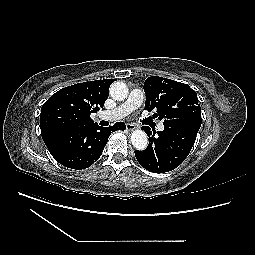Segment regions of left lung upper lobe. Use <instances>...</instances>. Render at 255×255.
Masks as SVG:
<instances>
[{
    "label": "left lung upper lobe",
    "mask_w": 255,
    "mask_h": 255,
    "mask_svg": "<svg viewBox=\"0 0 255 255\" xmlns=\"http://www.w3.org/2000/svg\"><path fill=\"white\" fill-rule=\"evenodd\" d=\"M145 109L157 111L163 124L202 122L197 93L189 85L152 76L145 80Z\"/></svg>",
    "instance_id": "1"
}]
</instances>
